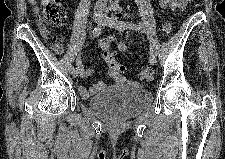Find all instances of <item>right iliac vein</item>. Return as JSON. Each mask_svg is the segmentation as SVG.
Instances as JSON below:
<instances>
[{
	"label": "right iliac vein",
	"instance_id": "1",
	"mask_svg": "<svg viewBox=\"0 0 225 159\" xmlns=\"http://www.w3.org/2000/svg\"><path fill=\"white\" fill-rule=\"evenodd\" d=\"M102 19H103V12L100 9H96L93 14V20L96 23H101ZM78 74H79L78 68H74L71 70V75L73 78H76Z\"/></svg>",
	"mask_w": 225,
	"mask_h": 159
}]
</instances>
